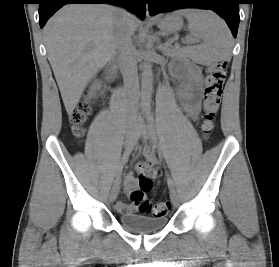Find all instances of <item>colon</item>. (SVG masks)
Listing matches in <instances>:
<instances>
[{
	"label": "colon",
	"mask_w": 279,
	"mask_h": 267,
	"mask_svg": "<svg viewBox=\"0 0 279 267\" xmlns=\"http://www.w3.org/2000/svg\"><path fill=\"white\" fill-rule=\"evenodd\" d=\"M227 62L219 60L210 65L206 71L205 89L203 95V120L201 129L204 136H208L213 129L214 119L218 113L223 93V85L226 79ZM104 93L101 91L98 96L84 100L79 103L70 119L73 125V132L76 137L84 133L83 125L92 114L93 108ZM154 171L150 165L141 166L139 178V189L131 194V200L135 208L141 213L152 212L154 216H164L171 210L169 201H161L152 205L146 193L152 188Z\"/></svg>",
	"instance_id": "obj_1"
}]
</instances>
